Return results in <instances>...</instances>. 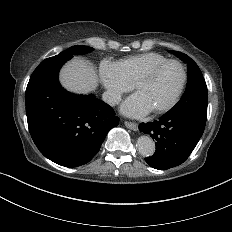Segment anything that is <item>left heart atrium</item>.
Returning a JSON list of instances; mask_svg holds the SVG:
<instances>
[{
  "mask_svg": "<svg viewBox=\"0 0 232 232\" xmlns=\"http://www.w3.org/2000/svg\"><path fill=\"white\" fill-rule=\"evenodd\" d=\"M120 111L125 116L138 118L151 113L152 109L140 94L135 92L121 104Z\"/></svg>",
  "mask_w": 232,
  "mask_h": 232,
  "instance_id": "1",
  "label": "left heart atrium"
}]
</instances>
